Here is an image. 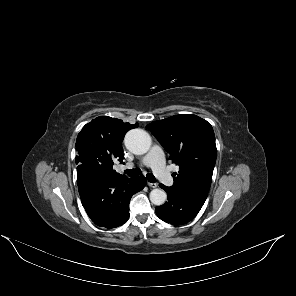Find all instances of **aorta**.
Returning <instances> with one entry per match:
<instances>
[{
  "mask_svg": "<svg viewBox=\"0 0 296 296\" xmlns=\"http://www.w3.org/2000/svg\"><path fill=\"white\" fill-rule=\"evenodd\" d=\"M124 143L130 152L137 155H142L148 152L150 149L151 138L147 132L136 128L127 132ZM166 199V192L162 189H153L150 192V201L156 206L163 205Z\"/></svg>",
  "mask_w": 296,
  "mask_h": 296,
  "instance_id": "aorta-1",
  "label": "aorta"
}]
</instances>
